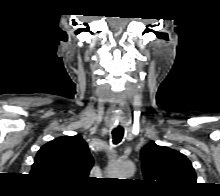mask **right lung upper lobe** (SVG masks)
I'll return each instance as SVG.
<instances>
[{
  "label": "right lung upper lobe",
  "instance_id": "1",
  "mask_svg": "<svg viewBox=\"0 0 220 196\" xmlns=\"http://www.w3.org/2000/svg\"><path fill=\"white\" fill-rule=\"evenodd\" d=\"M93 166L87 143L79 135L58 137L38 151L31 175L53 185L82 184Z\"/></svg>",
  "mask_w": 220,
  "mask_h": 196
}]
</instances>
